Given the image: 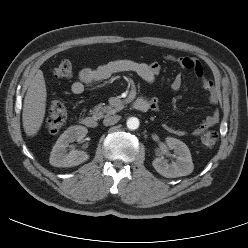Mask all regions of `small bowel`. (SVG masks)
<instances>
[{
    "label": "small bowel",
    "instance_id": "small-bowel-1",
    "mask_svg": "<svg viewBox=\"0 0 248 248\" xmlns=\"http://www.w3.org/2000/svg\"><path fill=\"white\" fill-rule=\"evenodd\" d=\"M166 60L176 63L179 67L187 70H192L195 75L201 80L203 88L207 91L208 100L212 104H217L219 101V92L215 87L213 81L207 78L204 74V68L200 61L192 57H176L172 55H166ZM162 70L161 65L158 62H137L130 59H117L100 65L96 68H84L78 74V79L72 83L71 91L73 94L80 95L84 91L96 84H99L113 75L122 72H132L138 75L142 80L147 83H152ZM182 86V76L177 74L171 87L174 91L180 90ZM150 108L156 110L158 108V101L156 98L149 99ZM220 114L218 111L213 112L202 120L191 132L192 135L198 136L202 134L206 129L213 127L219 123ZM166 131L178 135L184 136L186 131L174 128L168 124H163Z\"/></svg>",
    "mask_w": 248,
    "mask_h": 248
}]
</instances>
